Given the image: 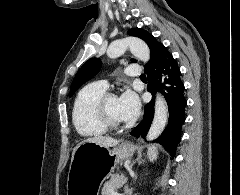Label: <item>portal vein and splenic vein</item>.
Listing matches in <instances>:
<instances>
[{
    "label": "portal vein and splenic vein",
    "instance_id": "portal-vein-and-splenic-vein-1",
    "mask_svg": "<svg viewBox=\"0 0 240 195\" xmlns=\"http://www.w3.org/2000/svg\"><path fill=\"white\" fill-rule=\"evenodd\" d=\"M131 175H133L132 171H130ZM113 195H121V193H113Z\"/></svg>",
    "mask_w": 240,
    "mask_h": 195
}]
</instances>
